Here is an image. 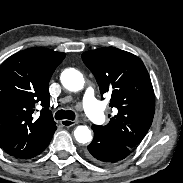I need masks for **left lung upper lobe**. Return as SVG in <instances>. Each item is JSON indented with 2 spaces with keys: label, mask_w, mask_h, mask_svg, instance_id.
I'll return each mask as SVG.
<instances>
[{
  "label": "left lung upper lobe",
  "mask_w": 183,
  "mask_h": 183,
  "mask_svg": "<svg viewBox=\"0 0 183 183\" xmlns=\"http://www.w3.org/2000/svg\"><path fill=\"white\" fill-rule=\"evenodd\" d=\"M82 59L95 76L101 95L111 94L109 106L116 111L106 126H94L108 137L136 147L155 112L153 86L145 65L137 56L114 47L84 52Z\"/></svg>",
  "instance_id": "obj_1"
}]
</instances>
